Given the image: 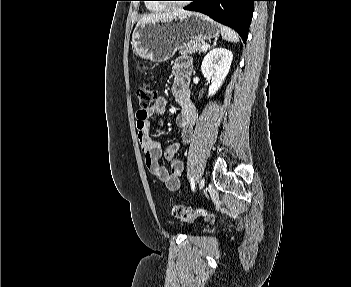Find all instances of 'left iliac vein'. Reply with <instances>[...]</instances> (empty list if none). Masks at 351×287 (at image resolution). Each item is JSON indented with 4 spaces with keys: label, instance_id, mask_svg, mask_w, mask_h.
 <instances>
[{
    "label": "left iliac vein",
    "instance_id": "1",
    "mask_svg": "<svg viewBox=\"0 0 351 287\" xmlns=\"http://www.w3.org/2000/svg\"><path fill=\"white\" fill-rule=\"evenodd\" d=\"M204 185H205V180L202 179L199 183V188L202 189L204 187Z\"/></svg>",
    "mask_w": 351,
    "mask_h": 287
}]
</instances>
